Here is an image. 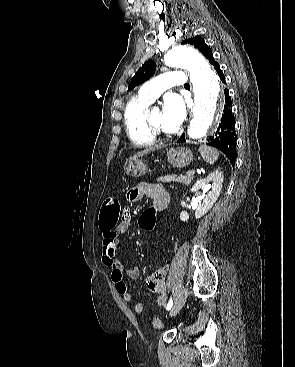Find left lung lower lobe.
Listing matches in <instances>:
<instances>
[{"label": "left lung lower lobe", "mask_w": 295, "mask_h": 367, "mask_svg": "<svg viewBox=\"0 0 295 367\" xmlns=\"http://www.w3.org/2000/svg\"><path fill=\"white\" fill-rule=\"evenodd\" d=\"M215 68L216 72L220 76L223 83H225V76L220 70V65L212 59L209 61ZM225 93V104L221 118V123L217 131L208 136V145L215 147L222 151L230 160L231 164L234 165L237 157L236 152V134H235V122L232 114V101L229 96L228 89L224 90ZM184 135L178 140V142H184Z\"/></svg>", "instance_id": "obj_1"}]
</instances>
